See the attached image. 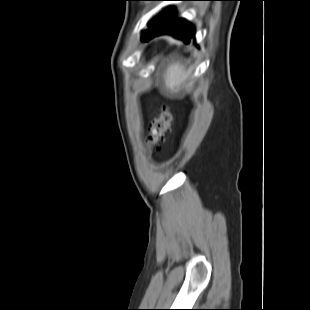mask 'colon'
Masks as SVG:
<instances>
[{"label":"colon","instance_id":"1","mask_svg":"<svg viewBox=\"0 0 310 310\" xmlns=\"http://www.w3.org/2000/svg\"><path fill=\"white\" fill-rule=\"evenodd\" d=\"M173 121V114L169 108H162L158 117L150 123V131L147 136V143L151 147L158 146L169 131Z\"/></svg>","mask_w":310,"mask_h":310}]
</instances>
